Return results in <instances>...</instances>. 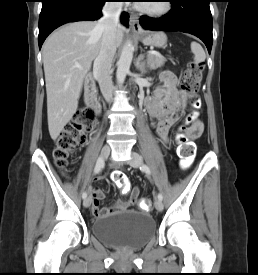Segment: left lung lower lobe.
I'll use <instances>...</instances> for the list:
<instances>
[{
	"label": "left lung lower lobe",
	"mask_w": 258,
	"mask_h": 275,
	"mask_svg": "<svg viewBox=\"0 0 258 275\" xmlns=\"http://www.w3.org/2000/svg\"><path fill=\"white\" fill-rule=\"evenodd\" d=\"M172 9L165 16L154 19L142 16L140 24L154 31H181L200 38L209 53L213 43L210 0H171Z\"/></svg>",
	"instance_id": "1"
}]
</instances>
